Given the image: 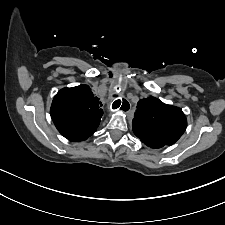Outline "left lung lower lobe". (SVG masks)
Masks as SVG:
<instances>
[{"mask_svg": "<svg viewBox=\"0 0 225 225\" xmlns=\"http://www.w3.org/2000/svg\"><path fill=\"white\" fill-rule=\"evenodd\" d=\"M147 146H149V145H147ZM149 147H151V148H161V147H156V146H149Z\"/></svg>", "mask_w": 225, "mask_h": 225, "instance_id": "obj_1", "label": "left lung lower lobe"}]
</instances>
